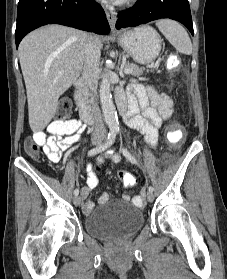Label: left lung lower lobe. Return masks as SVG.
Returning <instances> with one entry per match:
<instances>
[{
	"mask_svg": "<svg viewBox=\"0 0 227 279\" xmlns=\"http://www.w3.org/2000/svg\"><path fill=\"white\" fill-rule=\"evenodd\" d=\"M162 18L181 22L193 35L188 0H138L132 8L118 14L116 28L138 26Z\"/></svg>",
	"mask_w": 227,
	"mask_h": 279,
	"instance_id": "obj_1",
	"label": "left lung lower lobe"
}]
</instances>
